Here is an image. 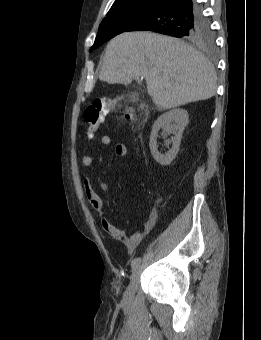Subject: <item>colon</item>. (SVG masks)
Segmentation results:
<instances>
[{"instance_id": "5ec220e1", "label": "colon", "mask_w": 261, "mask_h": 340, "mask_svg": "<svg viewBox=\"0 0 261 340\" xmlns=\"http://www.w3.org/2000/svg\"><path fill=\"white\" fill-rule=\"evenodd\" d=\"M113 107L111 102L105 100H97L89 105L84 110V121L87 125V136L90 138L98 129L99 125L104 120L105 116ZM134 110L132 108H127L125 112L126 120L130 121L134 117Z\"/></svg>"}]
</instances>
